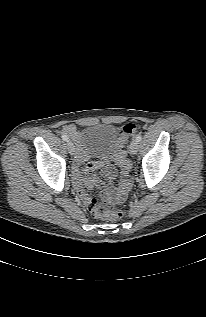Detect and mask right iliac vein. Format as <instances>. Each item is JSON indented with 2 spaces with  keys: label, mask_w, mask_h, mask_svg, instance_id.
Here are the masks:
<instances>
[{
  "label": "right iliac vein",
  "mask_w": 206,
  "mask_h": 317,
  "mask_svg": "<svg viewBox=\"0 0 206 317\" xmlns=\"http://www.w3.org/2000/svg\"><path fill=\"white\" fill-rule=\"evenodd\" d=\"M66 145H67V149H68V152L70 153V155H74V153H75L74 144L71 141H67Z\"/></svg>",
  "instance_id": "1"
}]
</instances>
